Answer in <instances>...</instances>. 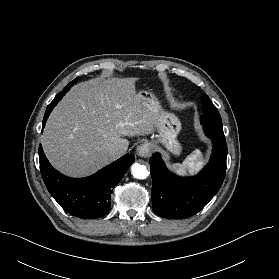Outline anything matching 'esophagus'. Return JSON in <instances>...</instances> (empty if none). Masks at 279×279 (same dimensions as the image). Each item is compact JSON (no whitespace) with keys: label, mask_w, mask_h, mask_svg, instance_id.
I'll return each mask as SVG.
<instances>
[{"label":"esophagus","mask_w":279,"mask_h":279,"mask_svg":"<svg viewBox=\"0 0 279 279\" xmlns=\"http://www.w3.org/2000/svg\"><path fill=\"white\" fill-rule=\"evenodd\" d=\"M152 144L149 142H144L137 147L136 153L139 157L147 158L151 155Z\"/></svg>","instance_id":"esophagus-1"}]
</instances>
